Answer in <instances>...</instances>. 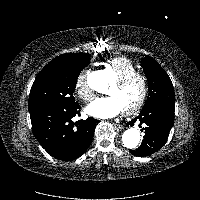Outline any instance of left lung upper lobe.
I'll return each instance as SVG.
<instances>
[{
	"label": "left lung upper lobe",
	"instance_id": "5c2ea615",
	"mask_svg": "<svg viewBox=\"0 0 200 200\" xmlns=\"http://www.w3.org/2000/svg\"><path fill=\"white\" fill-rule=\"evenodd\" d=\"M142 67L148 79V104L166 101L175 102L172 82L165 70L150 56L146 55L142 60Z\"/></svg>",
	"mask_w": 200,
	"mask_h": 200
}]
</instances>
